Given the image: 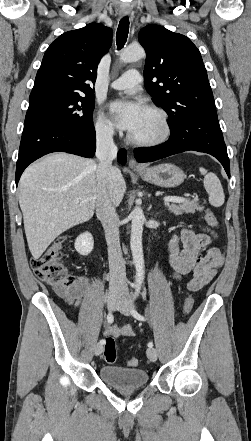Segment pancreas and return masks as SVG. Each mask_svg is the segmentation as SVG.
I'll list each match as a JSON object with an SVG mask.
<instances>
[{
    "mask_svg": "<svg viewBox=\"0 0 251 441\" xmlns=\"http://www.w3.org/2000/svg\"><path fill=\"white\" fill-rule=\"evenodd\" d=\"M168 210L175 215H182L183 213H192L195 211L204 210V206H200L196 200L184 201L180 204H166Z\"/></svg>",
    "mask_w": 251,
    "mask_h": 441,
    "instance_id": "obj_1",
    "label": "pancreas"
}]
</instances>
